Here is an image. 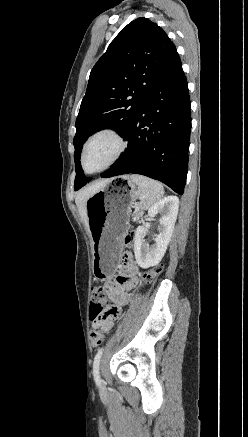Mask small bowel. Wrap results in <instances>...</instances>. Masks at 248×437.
<instances>
[{
    "label": "small bowel",
    "instance_id": "obj_1",
    "mask_svg": "<svg viewBox=\"0 0 248 437\" xmlns=\"http://www.w3.org/2000/svg\"><path fill=\"white\" fill-rule=\"evenodd\" d=\"M138 267L134 263L130 253L124 255L121 273L116 280L108 281L105 285L106 297L114 303L113 311L107 315L101 322L100 326L103 331L111 329L113 321L118 317L120 309L124 307L129 300L131 292L138 284Z\"/></svg>",
    "mask_w": 248,
    "mask_h": 437
}]
</instances>
